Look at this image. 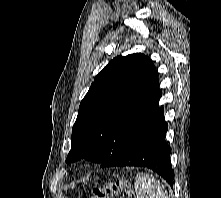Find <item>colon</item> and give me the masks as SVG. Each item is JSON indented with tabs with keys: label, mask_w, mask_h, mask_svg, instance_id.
Returning <instances> with one entry per match:
<instances>
[{
	"label": "colon",
	"mask_w": 221,
	"mask_h": 198,
	"mask_svg": "<svg viewBox=\"0 0 221 198\" xmlns=\"http://www.w3.org/2000/svg\"><path fill=\"white\" fill-rule=\"evenodd\" d=\"M133 198L131 186L127 180L118 178L102 187L92 189L89 198Z\"/></svg>",
	"instance_id": "5ec220e1"
}]
</instances>
